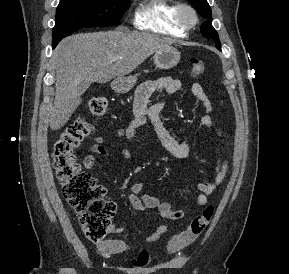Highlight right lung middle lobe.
Returning <instances> with one entry per match:
<instances>
[{"mask_svg":"<svg viewBox=\"0 0 289 274\" xmlns=\"http://www.w3.org/2000/svg\"><path fill=\"white\" fill-rule=\"evenodd\" d=\"M129 6L130 0H61L52 32L53 48L80 28L117 24Z\"/></svg>","mask_w":289,"mask_h":274,"instance_id":"right-lung-middle-lobe-1","label":"right lung middle lobe"}]
</instances>
